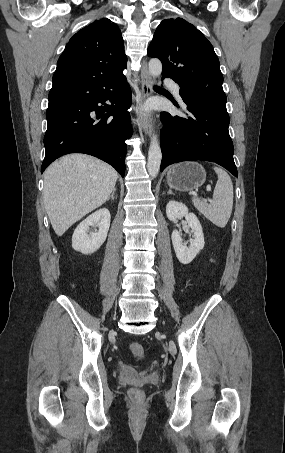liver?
Here are the masks:
<instances>
[{
  "label": "liver",
  "instance_id": "1",
  "mask_svg": "<svg viewBox=\"0 0 285 453\" xmlns=\"http://www.w3.org/2000/svg\"><path fill=\"white\" fill-rule=\"evenodd\" d=\"M118 178L105 162L85 154H69L44 173V203L51 225L62 236L75 222L106 202Z\"/></svg>",
  "mask_w": 285,
  "mask_h": 453
}]
</instances>
